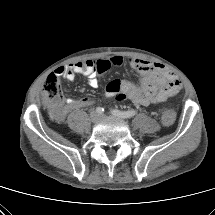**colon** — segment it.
<instances>
[{
    "label": "colon",
    "instance_id": "obj_1",
    "mask_svg": "<svg viewBox=\"0 0 215 215\" xmlns=\"http://www.w3.org/2000/svg\"><path fill=\"white\" fill-rule=\"evenodd\" d=\"M43 99L45 105L56 116L62 112V88L56 74H50L43 85ZM175 120V114L171 110H166L162 114L164 125H171Z\"/></svg>",
    "mask_w": 215,
    "mask_h": 215
}]
</instances>
